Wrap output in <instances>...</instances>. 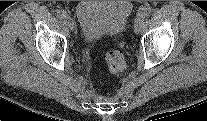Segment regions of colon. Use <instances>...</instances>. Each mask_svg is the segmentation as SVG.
I'll use <instances>...</instances> for the list:
<instances>
[{"instance_id":"obj_1","label":"colon","mask_w":207,"mask_h":121,"mask_svg":"<svg viewBox=\"0 0 207 121\" xmlns=\"http://www.w3.org/2000/svg\"><path fill=\"white\" fill-rule=\"evenodd\" d=\"M105 60L112 73H120L125 69V58L122 50L114 49L106 53Z\"/></svg>"}]
</instances>
